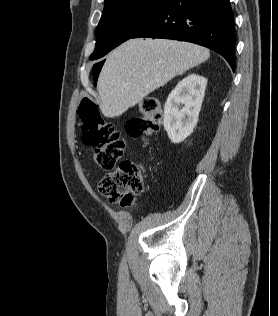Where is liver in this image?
Masks as SVG:
<instances>
[{
  "instance_id": "liver-1",
  "label": "liver",
  "mask_w": 278,
  "mask_h": 316,
  "mask_svg": "<svg viewBox=\"0 0 278 316\" xmlns=\"http://www.w3.org/2000/svg\"><path fill=\"white\" fill-rule=\"evenodd\" d=\"M210 57L208 49L167 39H130L112 51L100 72L97 90L106 117L122 115L175 76Z\"/></svg>"
}]
</instances>
